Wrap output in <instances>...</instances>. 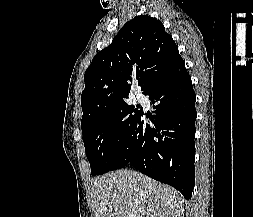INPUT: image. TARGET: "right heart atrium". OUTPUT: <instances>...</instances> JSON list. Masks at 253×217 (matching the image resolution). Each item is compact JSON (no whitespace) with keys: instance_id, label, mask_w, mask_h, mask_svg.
<instances>
[{"instance_id":"1","label":"right heart atrium","mask_w":253,"mask_h":217,"mask_svg":"<svg viewBox=\"0 0 253 217\" xmlns=\"http://www.w3.org/2000/svg\"><path fill=\"white\" fill-rule=\"evenodd\" d=\"M112 136L114 139L118 140L121 136V133L117 127H115L112 131Z\"/></svg>"}]
</instances>
